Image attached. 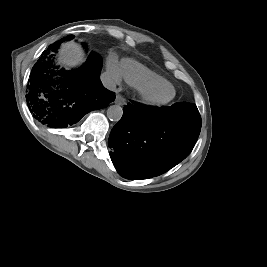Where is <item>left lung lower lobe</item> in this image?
Wrapping results in <instances>:
<instances>
[{
    "label": "left lung lower lobe",
    "instance_id": "obj_1",
    "mask_svg": "<svg viewBox=\"0 0 267 267\" xmlns=\"http://www.w3.org/2000/svg\"><path fill=\"white\" fill-rule=\"evenodd\" d=\"M201 129L195 104L146 107L132 102L109 136L110 157L118 173L139 180L163 174L193 149Z\"/></svg>",
    "mask_w": 267,
    "mask_h": 267
}]
</instances>
